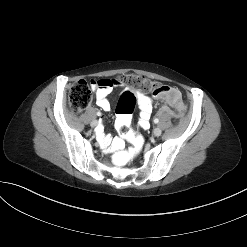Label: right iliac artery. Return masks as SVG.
<instances>
[{
	"label": "right iliac artery",
	"mask_w": 247,
	"mask_h": 247,
	"mask_svg": "<svg viewBox=\"0 0 247 247\" xmlns=\"http://www.w3.org/2000/svg\"><path fill=\"white\" fill-rule=\"evenodd\" d=\"M97 115H98V116H100V115H101V113H100V112H98V113H97Z\"/></svg>",
	"instance_id": "1"
}]
</instances>
